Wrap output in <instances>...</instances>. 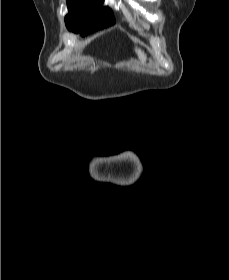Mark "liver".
<instances>
[{
  "mask_svg": "<svg viewBox=\"0 0 229 280\" xmlns=\"http://www.w3.org/2000/svg\"><path fill=\"white\" fill-rule=\"evenodd\" d=\"M135 52L137 53L141 62H144L145 59H146V54L143 51H141L140 49H137V48L135 49Z\"/></svg>",
  "mask_w": 229,
  "mask_h": 280,
  "instance_id": "obj_1",
  "label": "liver"
}]
</instances>
